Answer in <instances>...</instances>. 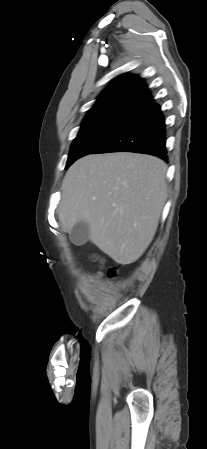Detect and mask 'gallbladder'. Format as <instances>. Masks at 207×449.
Masks as SVG:
<instances>
[{"instance_id": "obj_1", "label": "gallbladder", "mask_w": 207, "mask_h": 449, "mask_svg": "<svg viewBox=\"0 0 207 449\" xmlns=\"http://www.w3.org/2000/svg\"><path fill=\"white\" fill-rule=\"evenodd\" d=\"M90 229L85 222L76 223L70 231V240L75 245H83L89 239Z\"/></svg>"}]
</instances>
